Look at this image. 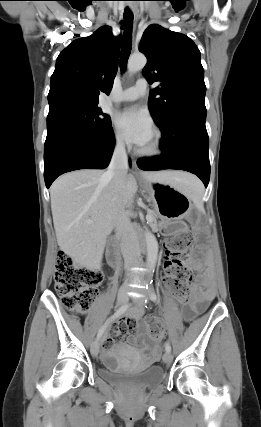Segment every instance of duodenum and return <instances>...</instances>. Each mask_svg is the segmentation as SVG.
<instances>
[{"label":"duodenum","mask_w":261,"mask_h":427,"mask_svg":"<svg viewBox=\"0 0 261 427\" xmlns=\"http://www.w3.org/2000/svg\"><path fill=\"white\" fill-rule=\"evenodd\" d=\"M120 242L118 238L111 240V248L108 254V262L112 267H118L120 264V253H119Z\"/></svg>","instance_id":"duodenum-1"}]
</instances>
